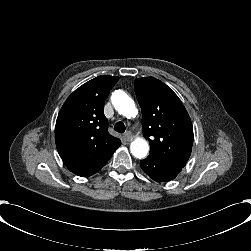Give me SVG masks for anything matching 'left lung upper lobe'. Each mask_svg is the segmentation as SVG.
I'll list each match as a JSON object with an SVG mask.
<instances>
[{"label": "left lung upper lobe", "instance_id": "1", "mask_svg": "<svg viewBox=\"0 0 251 251\" xmlns=\"http://www.w3.org/2000/svg\"><path fill=\"white\" fill-rule=\"evenodd\" d=\"M134 88L142 109V132L150 143L149 156L183 168L193 144V127L183 103L154 77L136 79Z\"/></svg>", "mask_w": 251, "mask_h": 251}]
</instances>
